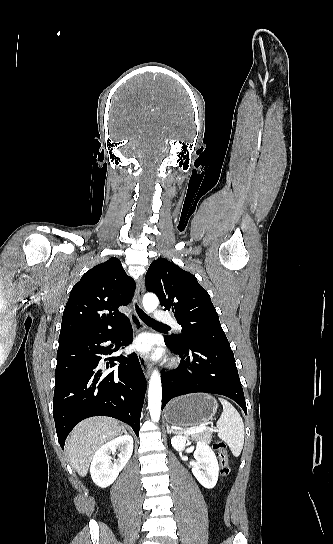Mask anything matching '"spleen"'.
Segmentation results:
<instances>
[{
	"label": "spleen",
	"instance_id": "3e777b00",
	"mask_svg": "<svg viewBox=\"0 0 333 544\" xmlns=\"http://www.w3.org/2000/svg\"><path fill=\"white\" fill-rule=\"evenodd\" d=\"M223 412L217 421L218 437L225 441L235 457L239 456L244 444V423L234 406L219 398Z\"/></svg>",
	"mask_w": 333,
	"mask_h": 544
}]
</instances>
